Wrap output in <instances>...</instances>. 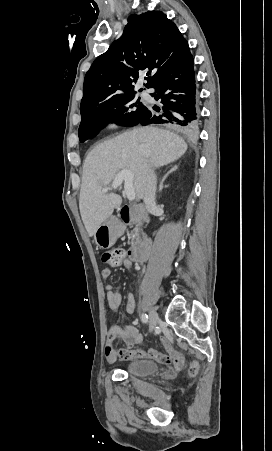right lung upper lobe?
Here are the masks:
<instances>
[{
  "instance_id": "1",
  "label": "right lung upper lobe",
  "mask_w": 272,
  "mask_h": 451,
  "mask_svg": "<svg viewBox=\"0 0 272 451\" xmlns=\"http://www.w3.org/2000/svg\"><path fill=\"white\" fill-rule=\"evenodd\" d=\"M188 52V42L163 12L130 15L122 36L86 73L80 112L135 95L133 84L145 69L147 74L152 72L145 86L152 88L159 76Z\"/></svg>"
}]
</instances>
